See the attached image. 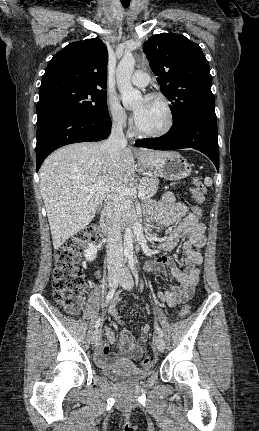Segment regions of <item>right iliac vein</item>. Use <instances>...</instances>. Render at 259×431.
<instances>
[{
	"label": "right iliac vein",
	"instance_id": "1",
	"mask_svg": "<svg viewBox=\"0 0 259 431\" xmlns=\"http://www.w3.org/2000/svg\"><path fill=\"white\" fill-rule=\"evenodd\" d=\"M118 278H119V272L116 270H113L110 273L109 280H108L109 287L113 288L117 284ZM99 340H100V331L96 329L92 334V338H91L92 345L93 346L97 345Z\"/></svg>",
	"mask_w": 259,
	"mask_h": 431
}]
</instances>
